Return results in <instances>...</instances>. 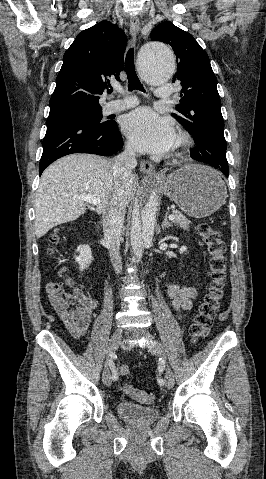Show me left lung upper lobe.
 <instances>
[{
  "mask_svg": "<svg viewBox=\"0 0 266 479\" xmlns=\"http://www.w3.org/2000/svg\"><path fill=\"white\" fill-rule=\"evenodd\" d=\"M150 37L169 44L177 57L173 82L179 81L182 86L176 106L181 115H172L194 139L191 157L213 167H228L217 79L207 53L191 34L171 22L157 25Z\"/></svg>",
  "mask_w": 266,
  "mask_h": 479,
  "instance_id": "obj_1",
  "label": "left lung upper lobe"
}]
</instances>
